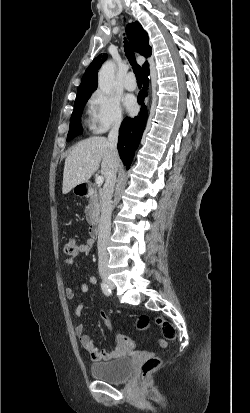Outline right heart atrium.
<instances>
[{
  "label": "right heart atrium",
  "mask_w": 250,
  "mask_h": 413,
  "mask_svg": "<svg viewBox=\"0 0 250 413\" xmlns=\"http://www.w3.org/2000/svg\"><path fill=\"white\" fill-rule=\"evenodd\" d=\"M89 125L96 134L118 128L123 121L119 98L111 93L96 91L90 98Z\"/></svg>",
  "instance_id": "obj_1"
}]
</instances>
